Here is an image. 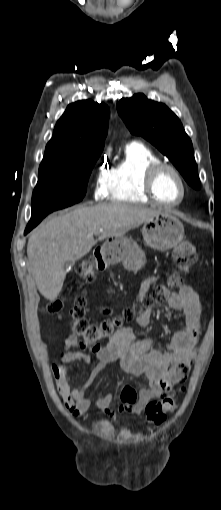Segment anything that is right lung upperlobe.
I'll return each mask as SVG.
<instances>
[{"instance_id": "obj_1", "label": "right lung upper lobe", "mask_w": 221, "mask_h": 510, "mask_svg": "<svg viewBox=\"0 0 221 510\" xmlns=\"http://www.w3.org/2000/svg\"><path fill=\"white\" fill-rule=\"evenodd\" d=\"M109 108L91 100L70 104L54 128L43 160L104 147Z\"/></svg>"}]
</instances>
